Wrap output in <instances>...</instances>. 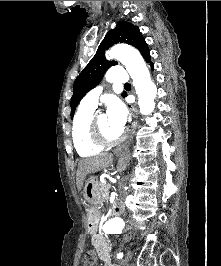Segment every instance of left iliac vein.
Segmentation results:
<instances>
[{
  "instance_id": "4c4485c4",
  "label": "left iliac vein",
  "mask_w": 221,
  "mask_h": 266,
  "mask_svg": "<svg viewBox=\"0 0 221 266\" xmlns=\"http://www.w3.org/2000/svg\"><path fill=\"white\" fill-rule=\"evenodd\" d=\"M132 257L133 253L131 251H128L124 259V264L127 265L132 260Z\"/></svg>"
}]
</instances>
